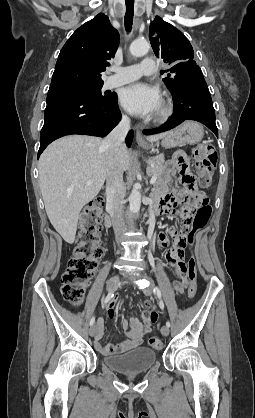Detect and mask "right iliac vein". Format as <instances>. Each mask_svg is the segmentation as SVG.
<instances>
[{
    "instance_id": "63e3f726",
    "label": "right iliac vein",
    "mask_w": 255,
    "mask_h": 418,
    "mask_svg": "<svg viewBox=\"0 0 255 418\" xmlns=\"http://www.w3.org/2000/svg\"><path fill=\"white\" fill-rule=\"evenodd\" d=\"M118 283H119V276H118V275L113 276V277H112V278H110V279H109V281L107 282V290H108L109 292L114 291V290L116 289V287H117ZM95 332H96V326H95V325H92V326L90 327V329H89V335H90L91 337H93V336H94V334H95Z\"/></svg>"
}]
</instances>
